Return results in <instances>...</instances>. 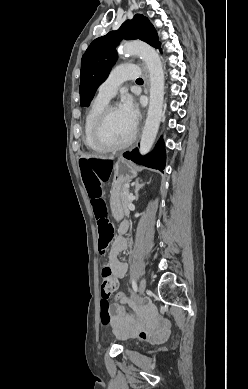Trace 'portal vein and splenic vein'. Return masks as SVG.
Listing matches in <instances>:
<instances>
[{
    "instance_id": "18ae733b",
    "label": "portal vein and splenic vein",
    "mask_w": 248,
    "mask_h": 389,
    "mask_svg": "<svg viewBox=\"0 0 248 389\" xmlns=\"http://www.w3.org/2000/svg\"><path fill=\"white\" fill-rule=\"evenodd\" d=\"M133 198H134V197H133L132 195H129V199H130V200H133Z\"/></svg>"
}]
</instances>
